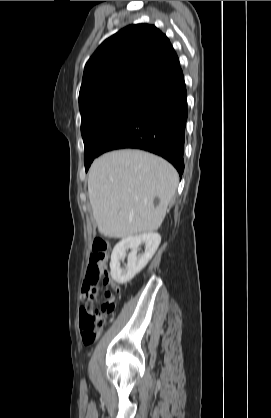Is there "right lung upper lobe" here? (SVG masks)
Returning a JSON list of instances; mask_svg holds the SVG:
<instances>
[{
  "instance_id": "cb5924a9",
  "label": "right lung upper lobe",
  "mask_w": 271,
  "mask_h": 418,
  "mask_svg": "<svg viewBox=\"0 0 271 418\" xmlns=\"http://www.w3.org/2000/svg\"><path fill=\"white\" fill-rule=\"evenodd\" d=\"M182 77L166 35L153 25H130L106 39L86 63L79 108L123 94L152 101Z\"/></svg>"
}]
</instances>
